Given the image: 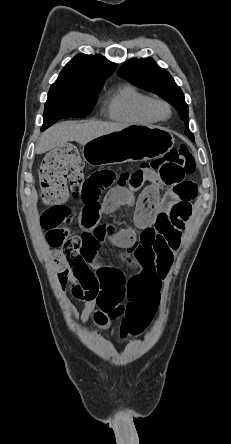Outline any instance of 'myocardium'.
I'll use <instances>...</instances> for the list:
<instances>
[{
	"label": "myocardium",
	"instance_id": "f54148a6",
	"mask_svg": "<svg viewBox=\"0 0 231 444\" xmlns=\"http://www.w3.org/2000/svg\"><path fill=\"white\" fill-rule=\"evenodd\" d=\"M159 108L165 109V114H162L159 111ZM149 113L160 121H165L169 119L172 115V106L171 104L162 98H152L148 104Z\"/></svg>",
	"mask_w": 231,
	"mask_h": 444
}]
</instances>
